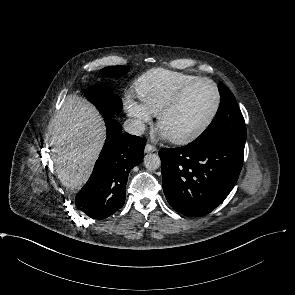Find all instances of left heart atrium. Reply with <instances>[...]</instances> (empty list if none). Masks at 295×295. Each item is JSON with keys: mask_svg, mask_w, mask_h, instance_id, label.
Wrapping results in <instances>:
<instances>
[{"mask_svg": "<svg viewBox=\"0 0 295 295\" xmlns=\"http://www.w3.org/2000/svg\"><path fill=\"white\" fill-rule=\"evenodd\" d=\"M161 137L162 138H169L168 135L163 131H161Z\"/></svg>", "mask_w": 295, "mask_h": 295, "instance_id": "39dd6f15", "label": "left heart atrium"}]
</instances>
